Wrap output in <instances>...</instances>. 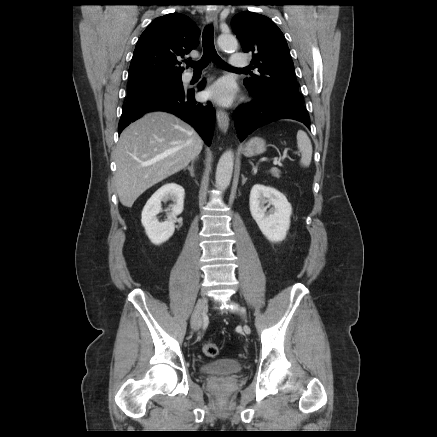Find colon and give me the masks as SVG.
I'll return each mask as SVG.
<instances>
[{
	"mask_svg": "<svg viewBox=\"0 0 437 437\" xmlns=\"http://www.w3.org/2000/svg\"><path fill=\"white\" fill-rule=\"evenodd\" d=\"M202 352L205 356L212 358L218 355L219 349L214 342L206 341L202 346Z\"/></svg>",
	"mask_w": 437,
	"mask_h": 437,
	"instance_id": "obj_1",
	"label": "colon"
}]
</instances>
